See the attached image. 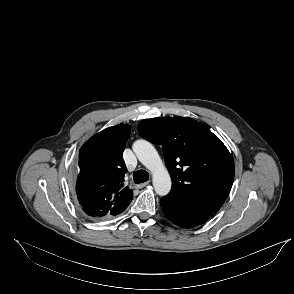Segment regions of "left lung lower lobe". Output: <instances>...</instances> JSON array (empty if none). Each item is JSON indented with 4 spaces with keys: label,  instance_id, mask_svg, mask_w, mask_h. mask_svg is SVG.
Instances as JSON below:
<instances>
[{
    "label": "left lung lower lobe",
    "instance_id": "obj_1",
    "mask_svg": "<svg viewBox=\"0 0 294 294\" xmlns=\"http://www.w3.org/2000/svg\"><path fill=\"white\" fill-rule=\"evenodd\" d=\"M160 205L165 216L183 228H192L201 225L211 215L190 204L174 201L167 196L160 200Z\"/></svg>",
    "mask_w": 294,
    "mask_h": 294
}]
</instances>
